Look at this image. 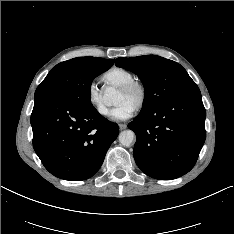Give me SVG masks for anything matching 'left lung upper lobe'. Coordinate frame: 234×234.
Listing matches in <instances>:
<instances>
[{"label":"left lung upper lobe","mask_w":234,"mask_h":234,"mask_svg":"<svg viewBox=\"0 0 234 234\" xmlns=\"http://www.w3.org/2000/svg\"><path fill=\"white\" fill-rule=\"evenodd\" d=\"M116 65L140 78L145 98L140 113H146L178 92L196 85L177 62L155 55L117 58Z\"/></svg>","instance_id":"left-lung-upper-lobe-1"}]
</instances>
